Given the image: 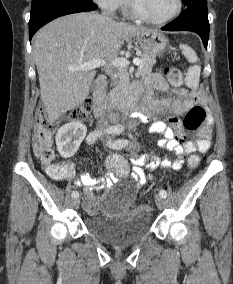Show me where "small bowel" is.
Here are the masks:
<instances>
[{"label":"small bowel","mask_w":233,"mask_h":284,"mask_svg":"<svg viewBox=\"0 0 233 284\" xmlns=\"http://www.w3.org/2000/svg\"><path fill=\"white\" fill-rule=\"evenodd\" d=\"M144 88L146 90L144 102L132 114V118L143 123H150V130L162 136L159 146L167 151L174 152L177 158L174 161L160 159L153 153L144 156H131L132 166L131 169L129 168V173L131 178L139 185H143L150 178V174H146L141 168L142 165L145 164L148 170H153L159 165L163 169L179 170L183 167L184 156H190L195 152L204 153L210 148L212 134V118L208 116L206 123L197 130L195 137L186 140L183 122L180 119V116L191 107L205 104L206 100L201 91H189L181 88L175 90L173 97L156 98L154 96L155 91L164 92L168 89L167 82L159 73L149 75L144 81ZM162 112L170 114L168 123L152 119L153 114ZM45 171L55 181H69L75 177L76 167L70 161H63L48 164ZM117 180L113 175L101 179H94L87 172L80 175L76 184L83 186L88 194L85 207L89 213L96 211V204L91 197V193L96 189L110 187Z\"/></svg>","instance_id":"small-bowel-1"}]
</instances>
